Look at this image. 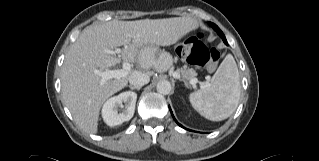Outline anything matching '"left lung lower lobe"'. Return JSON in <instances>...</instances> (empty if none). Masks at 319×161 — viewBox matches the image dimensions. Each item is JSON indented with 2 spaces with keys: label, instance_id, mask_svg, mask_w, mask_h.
Listing matches in <instances>:
<instances>
[{
  "label": "left lung lower lobe",
  "instance_id": "0a47b994",
  "mask_svg": "<svg viewBox=\"0 0 319 161\" xmlns=\"http://www.w3.org/2000/svg\"><path fill=\"white\" fill-rule=\"evenodd\" d=\"M211 25V24H210ZM215 30L218 28V26L217 25H215V24H213L212 23V25H211ZM226 45H227V43H225ZM170 108V107H169ZM170 112H171V114H172V117L174 118V115H173V113H172V110H171V108H170ZM174 120H175V118H174ZM176 121V120H175ZM176 123L180 126V127H182V128H184L181 124H179L177 121H176Z\"/></svg>",
  "mask_w": 319,
  "mask_h": 161
}]
</instances>
